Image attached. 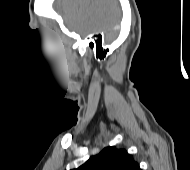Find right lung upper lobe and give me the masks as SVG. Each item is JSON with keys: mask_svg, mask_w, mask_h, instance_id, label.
I'll return each mask as SVG.
<instances>
[{"mask_svg": "<svg viewBox=\"0 0 190 170\" xmlns=\"http://www.w3.org/2000/svg\"><path fill=\"white\" fill-rule=\"evenodd\" d=\"M73 170H141L139 164L125 149L105 147L99 154L89 158Z\"/></svg>", "mask_w": 190, "mask_h": 170, "instance_id": "1", "label": "right lung upper lobe"}]
</instances>
